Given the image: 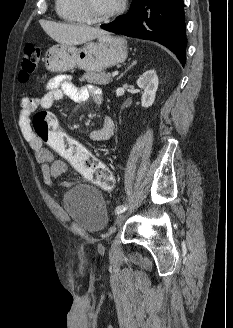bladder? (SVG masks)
Wrapping results in <instances>:
<instances>
[{"instance_id": "31cf9c89", "label": "bladder", "mask_w": 233, "mask_h": 328, "mask_svg": "<svg viewBox=\"0 0 233 328\" xmlns=\"http://www.w3.org/2000/svg\"><path fill=\"white\" fill-rule=\"evenodd\" d=\"M62 204L68 216L87 232L100 231L108 223L104 198L91 186L72 187L64 193Z\"/></svg>"}]
</instances>
